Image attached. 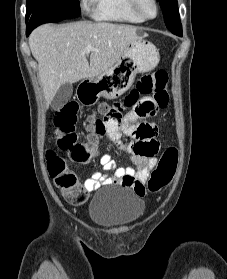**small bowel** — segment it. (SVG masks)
Returning a JSON list of instances; mask_svg holds the SVG:
<instances>
[{
    "label": "small bowel",
    "mask_w": 227,
    "mask_h": 279,
    "mask_svg": "<svg viewBox=\"0 0 227 279\" xmlns=\"http://www.w3.org/2000/svg\"><path fill=\"white\" fill-rule=\"evenodd\" d=\"M139 125H147L154 130V135L150 139H148V141L156 144L159 147V141L157 139L158 127L154 123L148 122L138 124L137 126ZM109 126L110 124L106 122L105 130L101 134L96 135V137H106L111 140L120 151L129 155L130 159L136 164L137 168L130 166L116 167L112 157L109 154H103L100 157V164L102 165L104 171H96L84 181L83 190L79 195V204H83L84 202H86L89 193L95 191L100 186L116 183L125 184L126 180L130 178L140 180L145 192V184L148 181L150 171L155 167L157 163V158L155 155L151 158H145L136 154L135 152H132L125 144L120 141V139L118 138V133H114L109 130ZM133 126H135V121L133 118L125 119L122 122V130L132 128ZM53 181L56 183L58 182L56 178H53Z\"/></svg>",
    "instance_id": "small-bowel-1"
}]
</instances>
